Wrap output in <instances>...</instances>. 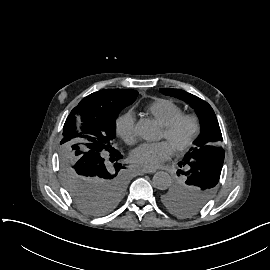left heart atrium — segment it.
<instances>
[{
  "mask_svg": "<svg viewBox=\"0 0 270 270\" xmlns=\"http://www.w3.org/2000/svg\"><path fill=\"white\" fill-rule=\"evenodd\" d=\"M172 150L168 142L143 144L133 151L131 158L140 168L153 170L170 157Z\"/></svg>",
  "mask_w": 270,
  "mask_h": 270,
  "instance_id": "left-heart-atrium-1",
  "label": "left heart atrium"
}]
</instances>
